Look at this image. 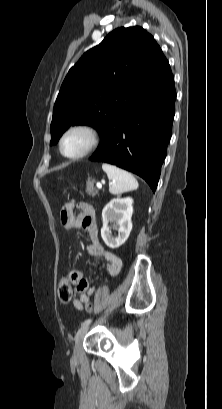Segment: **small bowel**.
<instances>
[{
    "instance_id": "1",
    "label": "small bowel",
    "mask_w": 222,
    "mask_h": 409,
    "mask_svg": "<svg viewBox=\"0 0 222 409\" xmlns=\"http://www.w3.org/2000/svg\"><path fill=\"white\" fill-rule=\"evenodd\" d=\"M77 206L80 210L79 216H74L73 209ZM61 222L67 230L82 229L86 232L90 244L86 247L88 253L93 258L94 263L104 259L107 263V272L109 275H116L121 266V259L114 253L106 250L101 243L98 229L95 224V209L87 202H78L71 200L67 202L60 212ZM83 270L71 269L67 277L70 283L74 285L73 305L76 310H82L85 304L90 302V297L94 294L95 288L89 287L88 282L82 279Z\"/></svg>"
}]
</instances>
